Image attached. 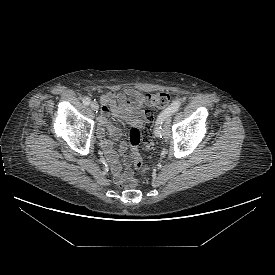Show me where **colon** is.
Returning a JSON list of instances; mask_svg holds the SVG:
<instances>
[{
  "instance_id": "5ec220e1",
  "label": "colon",
  "mask_w": 275,
  "mask_h": 275,
  "mask_svg": "<svg viewBox=\"0 0 275 275\" xmlns=\"http://www.w3.org/2000/svg\"><path fill=\"white\" fill-rule=\"evenodd\" d=\"M146 103L150 107L163 108L167 106L171 100V97L166 92L151 93L146 96ZM146 124L142 129L138 127H133L129 131V141L131 146V156L133 158L134 165L137 169L146 170L147 166L143 163L139 149L149 150L153 147V137L151 131V121L153 119V114L150 110H147L146 114ZM137 180L133 177H128L124 179L120 185L125 189H130L135 187Z\"/></svg>"
}]
</instances>
